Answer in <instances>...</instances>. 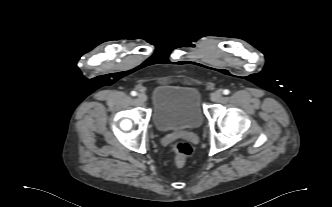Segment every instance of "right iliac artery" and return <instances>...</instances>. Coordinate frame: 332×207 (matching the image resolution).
Returning a JSON list of instances; mask_svg holds the SVG:
<instances>
[{
    "mask_svg": "<svg viewBox=\"0 0 332 207\" xmlns=\"http://www.w3.org/2000/svg\"><path fill=\"white\" fill-rule=\"evenodd\" d=\"M131 95H132V96H136V95H137V92H136V91H132V92H131Z\"/></svg>",
    "mask_w": 332,
    "mask_h": 207,
    "instance_id": "82829eb1",
    "label": "right iliac artery"
}]
</instances>
